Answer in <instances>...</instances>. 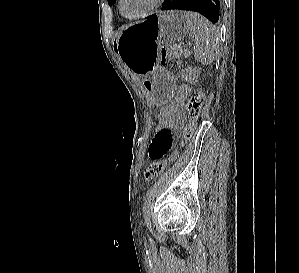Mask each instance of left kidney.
<instances>
[{
  "instance_id": "left-kidney-1",
  "label": "left kidney",
  "mask_w": 299,
  "mask_h": 273,
  "mask_svg": "<svg viewBox=\"0 0 299 273\" xmlns=\"http://www.w3.org/2000/svg\"><path fill=\"white\" fill-rule=\"evenodd\" d=\"M198 74H199L198 70L189 67L183 72L182 78L185 79V81L187 82L195 84L198 82Z\"/></svg>"
}]
</instances>
